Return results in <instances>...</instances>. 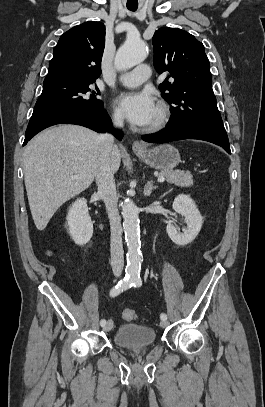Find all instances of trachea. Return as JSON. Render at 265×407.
Masks as SVG:
<instances>
[{
  "label": "trachea",
  "mask_w": 265,
  "mask_h": 407,
  "mask_svg": "<svg viewBox=\"0 0 265 407\" xmlns=\"http://www.w3.org/2000/svg\"><path fill=\"white\" fill-rule=\"evenodd\" d=\"M130 11L135 12L137 10V7H127Z\"/></svg>",
  "instance_id": "trachea-1"
}]
</instances>
